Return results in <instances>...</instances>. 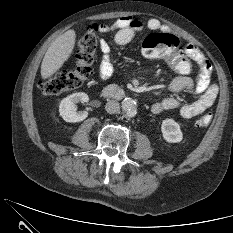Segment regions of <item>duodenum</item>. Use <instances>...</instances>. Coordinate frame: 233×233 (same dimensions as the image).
Returning <instances> with one entry per match:
<instances>
[{
  "mask_svg": "<svg viewBox=\"0 0 233 233\" xmlns=\"http://www.w3.org/2000/svg\"><path fill=\"white\" fill-rule=\"evenodd\" d=\"M124 90L117 86H108L102 90V96L106 99H115L122 97Z\"/></svg>",
  "mask_w": 233,
  "mask_h": 233,
  "instance_id": "duodenum-1",
  "label": "duodenum"
}]
</instances>
